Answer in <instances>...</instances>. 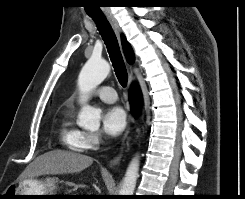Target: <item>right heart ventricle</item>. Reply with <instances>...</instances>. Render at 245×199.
<instances>
[{
  "instance_id": "e07e8e85",
  "label": "right heart ventricle",
  "mask_w": 245,
  "mask_h": 199,
  "mask_svg": "<svg viewBox=\"0 0 245 199\" xmlns=\"http://www.w3.org/2000/svg\"><path fill=\"white\" fill-rule=\"evenodd\" d=\"M60 137L65 146L73 152H84L87 150L84 141L85 133L79 129L73 120V110H67L59 122Z\"/></svg>"
}]
</instances>
